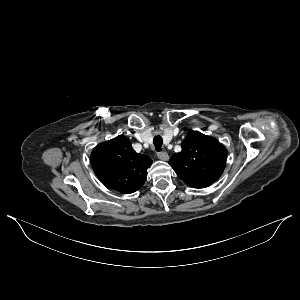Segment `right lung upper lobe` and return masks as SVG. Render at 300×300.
<instances>
[{
  "mask_svg": "<svg viewBox=\"0 0 300 300\" xmlns=\"http://www.w3.org/2000/svg\"><path fill=\"white\" fill-rule=\"evenodd\" d=\"M100 181L109 189L122 194L137 191L145 182L152 160L137 154L122 135L97 145L90 158Z\"/></svg>",
  "mask_w": 300,
  "mask_h": 300,
  "instance_id": "obj_1",
  "label": "right lung upper lobe"
}]
</instances>
